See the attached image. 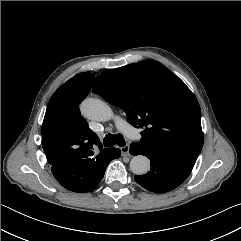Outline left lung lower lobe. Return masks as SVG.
Returning a JSON list of instances; mask_svg holds the SVG:
<instances>
[{
	"label": "left lung lower lobe",
	"instance_id": "1",
	"mask_svg": "<svg viewBox=\"0 0 241 241\" xmlns=\"http://www.w3.org/2000/svg\"><path fill=\"white\" fill-rule=\"evenodd\" d=\"M132 155H145L150 159L151 169L145 175H135L134 179L143 188L155 193H165L177 188L191 173L193 167L176 160L148 153L131 144Z\"/></svg>",
	"mask_w": 241,
	"mask_h": 241
}]
</instances>
